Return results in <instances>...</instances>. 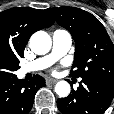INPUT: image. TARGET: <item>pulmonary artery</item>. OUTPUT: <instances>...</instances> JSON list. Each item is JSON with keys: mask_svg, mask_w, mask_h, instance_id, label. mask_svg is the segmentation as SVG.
<instances>
[{"mask_svg": "<svg viewBox=\"0 0 114 114\" xmlns=\"http://www.w3.org/2000/svg\"><path fill=\"white\" fill-rule=\"evenodd\" d=\"M72 37L67 30L57 29L52 34V50L48 55L24 64L20 68L22 74L40 71L48 68L64 56L71 48Z\"/></svg>", "mask_w": 114, "mask_h": 114, "instance_id": "pulmonary-artery-1", "label": "pulmonary artery"}]
</instances>
